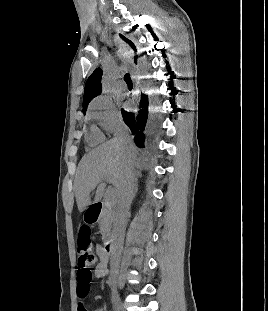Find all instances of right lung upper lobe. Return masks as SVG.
Wrapping results in <instances>:
<instances>
[{
  "mask_svg": "<svg viewBox=\"0 0 268 311\" xmlns=\"http://www.w3.org/2000/svg\"><path fill=\"white\" fill-rule=\"evenodd\" d=\"M120 37L136 52L137 49L134 43L120 34ZM137 56L134 57V62H136ZM101 77H102V70L97 68L93 71V73L89 76L86 84H85V91L83 97V112H86L87 106L89 102L99 95L102 91L101 87Z\"/></svg>",
  "mask_w": 268,
  "mask_h": 311,
  "instance_id": "obj_1",
  "label": "right lung upper lobe"
}]
</instances>
